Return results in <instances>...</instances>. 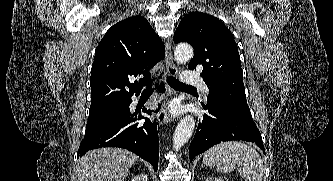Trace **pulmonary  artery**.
I'll use <instances>...</instances> for the list:
<instances>
[{
	"instance_id": "obj_1",
	"label": "pulmonary artery",
	"mask_w": 333,
	"mask_h": 181,
	"mask_svg": "<svg viewBox=\"0 0 333 181\" xmlns=\"http://www.w3.org/2000/svg\"><path fill=\"white\" fill-rule=\"evenodd\" d=\"M181 79L186 85L200 87L203 90L205 96L208 95L209 90L203 82V79L197 73L193 71H186L181 75Z\"/></svg>"
}]
</instances>
